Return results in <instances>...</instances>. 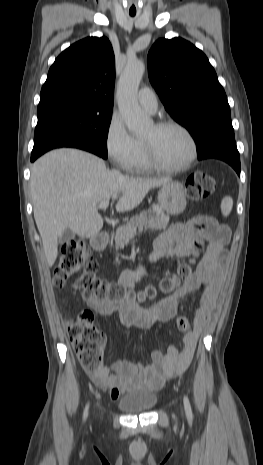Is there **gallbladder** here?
Wrapping results in <instances>:
<instances>
[{
  "label": "gallbladder",
  "mask_w": 263,
  "mask_h": 465,
  "mask_svg": "<svg viewBox=\"0 0 263 465\" xmlns=\"http://www.w3.org/2000/svg\"><path fill=\"white\" fill-rule=\"evenodd\" d=\"M75 238V233L70 229H65L59 237V243L62 244Z\"/></svg>",
  "instance_id": "1"
}]
</instances>
